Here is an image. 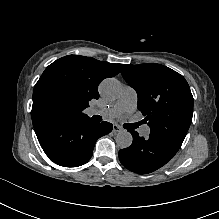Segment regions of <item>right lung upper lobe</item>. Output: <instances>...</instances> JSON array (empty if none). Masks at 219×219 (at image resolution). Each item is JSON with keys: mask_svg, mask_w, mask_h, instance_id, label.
<instances>
[{"mask_svg": "<svg viewBox=\"0 0 219 219\" xmlns=\"http://www.w3.org/2000/svg\"><path fill=\"white\" fill-rule=\"evenodd\" d=\"M122 66L80 55L56 60L34 87L32 120L89 118L83 110L89 107V101L99 98V83L117 75Z\"/></svg>", "mask_w": 219, "mask_h": 219, "instance_id": "obj_1", "label": "right lung upper lobe"}]
</instances>
